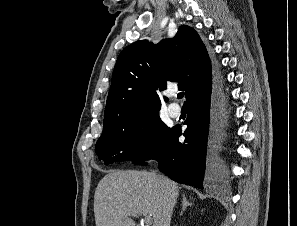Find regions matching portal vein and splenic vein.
<instances>
[{
	"label": "portal vein and splenic vein",
	"instance_id": "18ae733b",
	"mask_svg": "<svg viewBox=\"0 0 297 226\" xmlns=\"http://www.w3.org/2000/svg\"><path fill=\"white\" fill-rule=\"evenodd\" d=\"M144 216H145V223L146 224H150V223H152V217H151V215H145L144 214Z\"/></svg>",
	"mask_w": 297,
	"mask_h": 226
}]
</instances>
